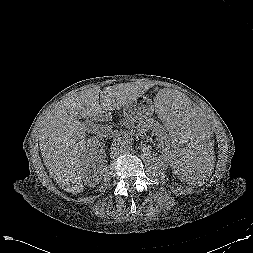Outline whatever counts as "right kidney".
Masks as SVG:
<instances>
[{"label": "right kidney", "mask_w": 253, "mask_h": 253, "mask_svg": "<svg viewBox=\"0 0 253 253\" xmlns=\"http://www.w3.org/2000/svg\"><path fill=\"white\" fill-rule=\"evenodd\" d=\"M102 142L99 138L91 137L85 141L83 152L80 158V173L84 183L89 187H94L101 181V176L97 172H93L97 156L101 154ZM101 147V148H100Z\"/></svg>", "instance_id": "ca27d5eb"}]
</instances>
